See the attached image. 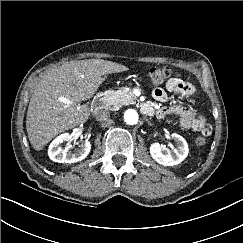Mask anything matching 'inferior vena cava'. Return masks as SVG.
Returning a JSON list of instances; mask_svg holds the SVG:
<instances>
[{
	"label": "inferior vena cava",
	"mask_w": 243,
	"mask_h": 243,
	"mask_svg": "<svg viewBox=\"0 0 243 243\" xmlns=\"http://www.w3.org/2000/svg\"><path fill=\"white\" fill-rule=\"evenodd\" d=\"M94 115L97 121H106L110 117V112L107 109H99Z\"/></svg>",
	"instance_id": "obj_1"
}]
</instances>
